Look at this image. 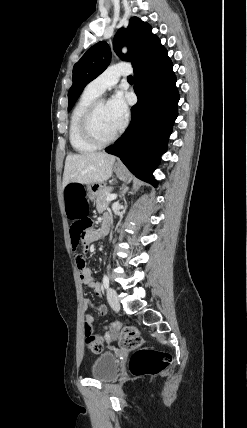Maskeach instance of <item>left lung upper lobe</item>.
<instances>
[{
  "instance_id": "5c2ea615",
  "label": "left lung upper lobe",
  "mask_w": 247,
  "mask_h": 428,
  "mask_svg": "<svg viewBox=\"0 0 247 428\" xmlns=\"http://www.w3.org/2000/svg\"><path fill=\"white\" fill-rule=\"evenodd\" d=\"M151 30L148 23L132 17L127 29H120L114 37V50L117 55L131 62L134 69L165 49ZM124 45L128 48L127 54L120 53ZM111 56L110 46L105 41H101L88 49L75 64L73 84L68 92V111L72 109L84 87L107 68Z\"/></svg>"
}]
</instances>
